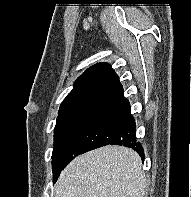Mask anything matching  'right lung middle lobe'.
Returning a JSON list of instances; mask_svg holds the SVG:
<instances>
[{"instance_id":"right-lung-middle-lobe-1","label":"right lung middle lobe","mask_w":191,"mask_h":197,"mask_svg":"<svg viewBox=\"0 0 191 197\" xmlns=\"http://www.w3.org/2000/svg\"><path fill=\"white\" fill-rule=\"evenodd\" d=\"M92 108H81L59 113L54 129L52 153L53 179L57 180L76 136Z\"/></svg>"}]
</instances>
